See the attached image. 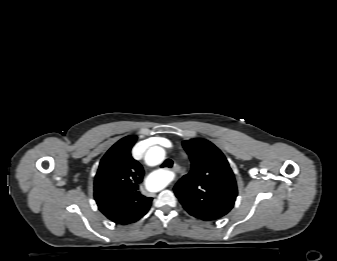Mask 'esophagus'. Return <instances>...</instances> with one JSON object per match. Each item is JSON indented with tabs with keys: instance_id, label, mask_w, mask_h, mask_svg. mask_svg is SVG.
Here are the masks:
<instances>
[{
	"instance_id": "1",
	"label": "esophagus",
	"mask_w": 337,
	"mask_h": 261,
	"mask_svg": "<svg viewBox=\"0 0 337 261\" xmlns=\"http://www.w3.org/2000/svg\"><path fill=\"white\" fill-rule=\"evenodd\" d=\"M178 169L177 165H174L173 170L176 171Z\"/></svg>"
}]
</instances>
